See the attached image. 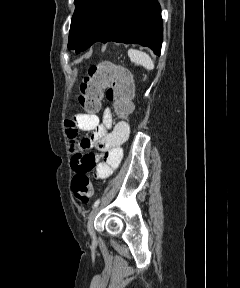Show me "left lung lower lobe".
Returning <instances> with one entry per match:
<instances>
[{
  "instance_id": "0a47b994",
  "label": "left lung lower lobe",
  "mask_w": 240,
  "mask_h": 288,
  "mask_svg": "<svg viewBox=\"0 0 240 288\" xmlns=\"http://www.w3.org/2000/svg\"><path fill=\"white\" fill-rule=\"evenodd\" d=\"M163 35L161 8L157 0H109L94 31L79 51L95 42L140 44L158 54Z\"/></svg>"
}]
</instances>
